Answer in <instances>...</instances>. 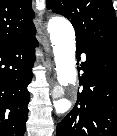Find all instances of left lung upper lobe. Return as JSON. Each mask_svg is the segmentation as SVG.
Masks as SVG:
<instances>
[{
    "label": "left lung upper lobe",
    "instance_id": "1",
    "mask_svg": "<svg viewBox=\"0 0 117 136\" xmlns=\"http://www.w3.org/2000/svg\"><path fill=\"white\" fill-rule=\"evenodd\" d=\"M47 8L72 23L76 43L117 53V20L111 0H47Z\"/></svg>",
    "mask_w": 117,
    "mask_h": 136
}]
</instances>
